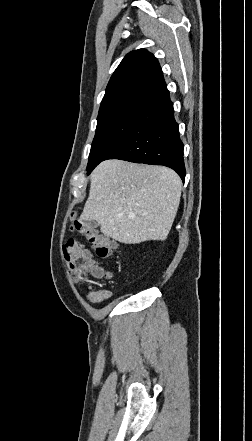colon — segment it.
<instances>
[{
	"label": "colon",
	"instance_id": "5ec220e1",
	"mask_svg": "<svg viewBox=\"0 0 252 441\" xmlns=\"http://www.w3.org/2000/svg\"><path fill=\"white\" fill-rule=\"evenodd\" d=\"M72 228L85 237L87 243L99 257L109 258L113 255L114 245L107 236L80 220H74ZM63 252L70 273L76 281L88 282L90 275L110 277L108 272L92 263L90 252L80 241L69 240L64 244Z\"/></svg>",
	"mask_w": 252,
	"mask_h": 441
}]
</instances>
